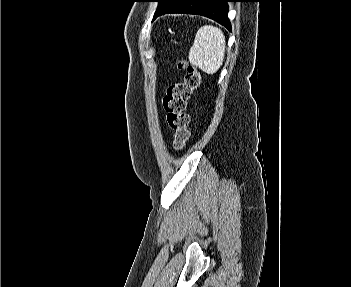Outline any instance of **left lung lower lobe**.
I'll return each instance as SVG.
<instances>
[{
  "instance_id": "1",
  "label": "left lung lower lobe",
  "mask_w": 351,
  "mask_h": 287,
  "mask_svg": "<svg viewBox=\"0 0 351 287\" xmlns=\"http://www.w3.org/2000/svg\"><path fill=\"white\" fill-rule=\"evenodd\" d=\"M232 0H172L165 8L157 12L154 19L166 13L197 14L217 21L231 31L227 17V2Z\"/></svg>"
}]
</instances>
